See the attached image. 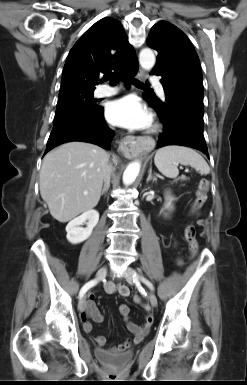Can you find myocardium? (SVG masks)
Masks as SVG:
<instances>
[{"label": "myocardium", "instance_id": "myocardium-1", "mask_svg": "<svg viewBox=\"0 0 247 385\" xmlns=\"http://www.w3.org/2000/svg\"><path fill=\"white\" fill-rule=\"evenodd\" d=\"M158 125L157 124H154L153 126H152V129H151V132H155L157 129H158Z\"/></svg>", "mask_w": 247, "mask_h": 385}]
</instances>
